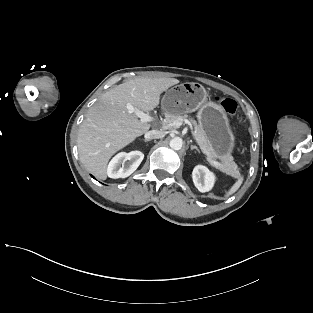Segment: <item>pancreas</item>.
Returning a JSON list of instances; mask_svg holds the SVG:
<instances>
[{
    "instance_id": "cf45deb5",
    "label": "pancreas",
    "mask_w": 313,
    "mask_h": 313,
    "mask_svg": "<svg viewBox=\"0 0 313 313\" xmlns=\"http://www.w3.org/2000/svg\"><path fill=\"white\" fill-rule=\"evenodd\" d=\"M179 119H187L191 121V123L194 125V133H195V137H196L198 144L200 145L202 151L207 155V157L213 161V159H215L214 150L212 146L210 145L208 139L206 138L202 128L197 124V122L193 118H191L187 114H183V115L166 114V117L164 119V124L168 125ZM213 166L219 169L221 172H224L227 175H230L232 177H236L238 175V166L233 161V157L231 155L226 156L224 161L221 163L215 162Z\"/></svg>"
}]
</instances>
